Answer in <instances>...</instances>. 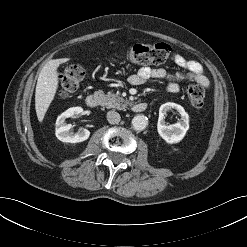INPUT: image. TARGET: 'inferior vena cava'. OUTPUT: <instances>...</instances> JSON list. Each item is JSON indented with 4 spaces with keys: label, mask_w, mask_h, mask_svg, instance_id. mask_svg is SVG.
<instances>
[{
    "label": "inferior vena cava",
    "mask_w": 247,
    "mask_h": 247,
    "mask_svg": "<svg viewBox=\"0 0 247 247\" xmlns=\"http://www.w3.org/2000/svg\"><path fill=\"white\" fill-rule=\"evenodd\" d=\"M120 114L115 111L107 112V120L110 124H118L120 122Z\"/></svg>",
    "instance_id": "obj_1"
}]
</instances>
